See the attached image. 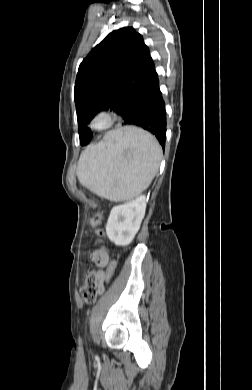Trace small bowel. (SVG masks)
Masks as SVG:
<instances>
[{
    "label": "small bowel",
    "instance_id": "obj_1",
    "mask_svg": "<svg viewBox=\"0 0 252 390\" xmlns=\"http://www.w3.org/2000/svg\"><path fill=\"white\" fill-rule=\"evenodd\" d=\"M92 225H95L92 221ZM103 233V232H102ZM91 258L95 261V263L98 265V267L103 268L106 267L109 263V255L106 250H100L93 252L91 254ZM112 271L108 270L105 272L102 269H99L97 271V278L99 280V286H98V294L101 295L104 292V284L107 283L111 278Z\"/></svg>",
    "mask_w": 252,
    "mask_h": 390
}]
</instances>
